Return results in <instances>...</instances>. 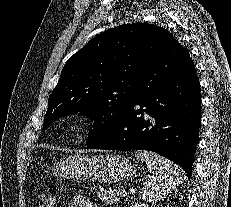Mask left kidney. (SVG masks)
<instances>
[{"mask_svg": "<svg viewBox=\"0 0 231 207\" xmlns=\"http://www.w3.org/2000/svg\"><path fill=\"white\" fill-rule=\"evenodd\" d=\"M130 207H154V206L148 203L139 202V203L132 204Z\"/></svg>", "mask_w": 231, "mask_h": 207, "instance_id": "left-kidney-1", "label": "left kidney"}]
</instances>
